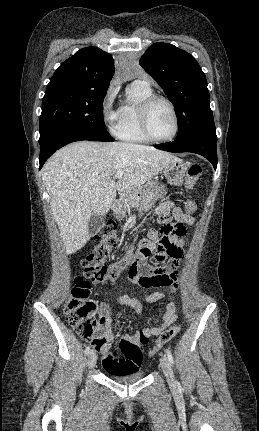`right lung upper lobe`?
Instances as JSON below:
<instances>
[{
    "label": "right lung upper lobe",
    "mask_w": 259,
    "mask_h": 431,
    "mask_svg": "<svg viewBox=\"0 0 259 431\" xmlns=\"http://www.w3.org/2000/svg\"><path fill=\"white\" fill-rule=\"evenodd\" d=\"M113 74L112 56L97 47H86L77 51L58 67L46 91L73 89L107 92Z\"/></svg>",
    "instance_id": "cb5924a9"
}]
</instances>
